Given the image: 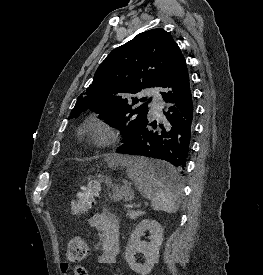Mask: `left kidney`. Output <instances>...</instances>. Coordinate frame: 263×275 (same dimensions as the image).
Here are the masks:
<instances>
[{
    "mask_svg": "<svg viewBox=\"0 0 263 275\" xmlns=\"http://www.w3.org/2000/svg\"><path fill=\"white\" fill-rule=\"evenodd\" d=\"M149 231L150 242L141 241L144 232ZM163 242V228L155 220L144 219L131 233L128 246L125 251V260L134 272L147 275L151 272L155 263L159 261V250ZM142 253L146 259L144 264L136 263V253Z\"/></svg>",
    "mask_w": 263,
    "mask_h": 275,
    "instance_id": "obj_1",
    "label": "left kidney"
}]
</instances>
